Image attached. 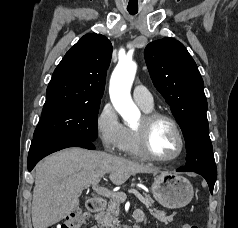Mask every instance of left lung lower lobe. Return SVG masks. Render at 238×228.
<instances>
[{"label": "left lung lower lobe", "instance_id": "left-lung-lower-lobe-1", "mask_svg": "<svg viewBox=\"0 0 238 228\" xmlns=\"http://www.w3.org/2000/svg\"><path fill=\"white\" fill-rule=\"evenodd\" d=\"M178 172H185V171H189V172H195L197 174H200L201 176H203L210 188V192H213V188H214V184L217 178V174H212V173H208V172H204V171H200V170H186L184 167H180L179 169H177Z\"/></svg>", "mask_w": 238, "mask_h": 228}]
</instances>
